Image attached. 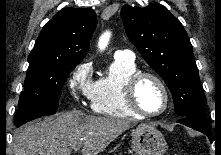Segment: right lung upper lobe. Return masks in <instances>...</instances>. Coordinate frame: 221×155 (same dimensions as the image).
<instances>
[{
    "instance_id": "1",
    "label": "right lung upper lobe",
    "mask_w": 221,
    "mask_h": 155,
    "mask_svg": "<svg viewBox=\"0 0 221 155\" xmlns=\"http://www.w3.org/2000/svg\"><path fill=\"white\" fill-rule=\"evenodd\" d=\"M96 25L92 9H62L43 27L28 61L80 63L89 49Z\"/></svg>"
}]
</instances>
